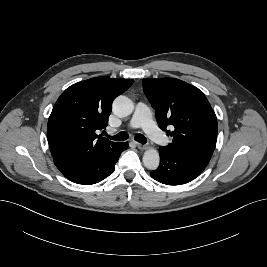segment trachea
<instances>
[{"label": "trachea", "mask_w": 267, "mask_h": 267, "mask_svg": "<svg viewBox=\"0 0 267 267\" xmlns=\"http://www.w3.org/2000/svg\"><path fill=\"white\" fill-rule=\"evenodd\" d=\"M106 136L109 137L112 140H115V141H124V140L129 138V135H128L127 132H120L115 136H108L106 134ZM135 140L137 142L141 143V144H145L147 142L146 137L144 135H142V134H136L135 135Z\"/></svg>", "instance_id": "1"}]
</instances>
